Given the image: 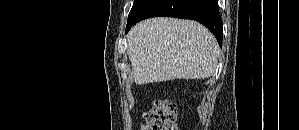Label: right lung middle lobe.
<instances>
[{
  "instance_id": "right-lung-middle-lobe-1",
  "label": "right lung middle lobe",
  "mask_w": 299,
  "mask_h": 130,
  "mask_svg": "<svg viewBox=\"0 0 299 130\" xmlns=\"http://www.w3.org/2000/svg\"><path fill=\"white\" fill-rule=\"evenodd\" d=\"M147 0H134V4L129 13L127 23H129L134 16V14L139 10V8L146 2Z\"/></svg>"
}]
</instances>
